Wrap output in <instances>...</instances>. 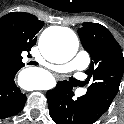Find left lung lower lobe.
<instances>
[{
	"label": "left lung lower lobe",
	"mask_w": 124,
	"mask_h": 124,
	"mask_svg": "<svg viewBox=\"0 0 124 124\" xmlns=\"http://www.w3.org/2000/svg\"><path fill=\"white\" fill-rule=\"evenodd\" d=\"M72 89L68 81H60L46 93L51 118L56 124H93L97 119L83 97L72 98Z\"/></svg>",
	"instance_id": "0a47b994"
}]
</instances>
